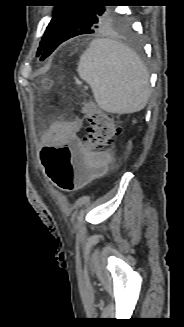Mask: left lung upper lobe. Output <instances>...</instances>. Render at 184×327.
<instances>
[{
  "label": "left lung upper lobe",
  "mask_w": 184,
  "mask_h": 327,
  "mask_svg": "<svg viewBox=\"0 0 184 327\" xmlns=\"http://www.w3.org/2000/svg\"><path fill=\"white\" fill-rule=\"evenodd\" d=\"M63 17L64 25L78 34H90L108 24L123 25L124 15L113 14L105 6H90L84 4L56 6L52 19L42 38L37 55L42 54L58 20Z\"/></svg>",
  "instance_id": "1"
}]
</instances>
